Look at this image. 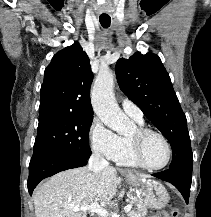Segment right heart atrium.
<instances>
[{"instance_id":"obj_1","label":"right heart atrium","mask_w":211,"mask_h":217,"mask_svg":"<svg viewBox=\"0 0 211 217\" xmlns=\"http://www.w3.org/2000/svg\"><path fill=\"white\" fill-rule=\"evenodd\" d=\"M91 148L106 159L114 160L121 146V137L108 128L98 118L93 119L89 127Z\"/></svg>"}]
</instances>
